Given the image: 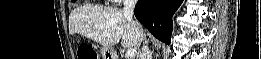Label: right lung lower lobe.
<instances>
[{"label":"right lung lower lobe","instance_id":"right-lung-lower-lobe-1","mask_svg":"<svg viewBox=\"0 0 261 59\" xmlns=\"http://www.w3.org/2000/svg\"><path fill=\"white\" fill-rule=\"evenodd\" d=\"M183 0H138L136 18L160 41L170 44L172 16Z\"/></svg>","mask_w":261,"mask_h":59}]
</instances>
